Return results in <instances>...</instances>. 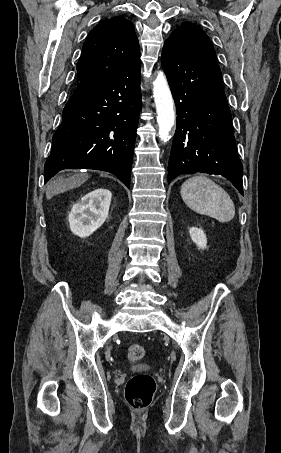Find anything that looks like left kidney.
<instances>
[{"instance_id": "5707ae66", "label": "left kidney", "mask_w": 281, "mask_h": 453, "mask_svg": "<svg viewBox=\"0 0 281 453\" xmlns=\"http://www.w3.org/2000/svg\"><path fill=\"white\" fill-rule=\"evenodd\" d=\"M189 235L193 243L197 245L198 249H207V237L205 233H203L202 229L191 227V229H189Z\"/></svg>"}]
</instances>
